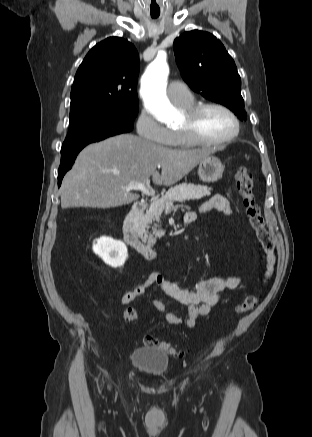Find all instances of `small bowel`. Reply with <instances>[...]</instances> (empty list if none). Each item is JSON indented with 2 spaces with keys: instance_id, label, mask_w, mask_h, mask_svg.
Returning a JSON list of instances; mask_svg holds the SVG:
<instances>
[{
  "instance_id": "c3829d8e",
  "label": "small bowel",
  "mask_w": 312,
  "mask_h": 437,
  "mask_svg": "<svg viewBox=\"0 0 312 437\" xmlns=\"http://www.w3.org/2000/svg\"><path fill=\"white\" fill-rule=\"evenodd\" d=\"M218 210L225 215L231 214V205L226 197L216 194L205 201L201 207V212ZM195 212H187L184 216L185 223H192L196 220ZM240 284L237 276L220 277L214 276L196 282L191 288H182L174 282L166 280L159 273H151L146 279L126 291L121 297L123 305H129L137 298L143 296L148 289L156 287L170 298L187 306V316L182 318L175 312H167L165 320L170 325H184L187 328H194L198 318L208 315L213 306L219 300L220 293L225 290L236 288ZM153 307L160 311H166L167 307L161 299L152 301Z\"/></svg>"
}]
</instances>
